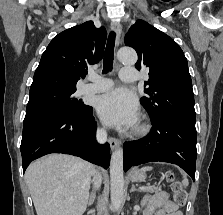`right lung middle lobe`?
<instances>
[{"label": "right lung middle lobe", "mask_w": 223, "mask_h": 215, "mask_svg": "<svg viewBox=\"0 0 223 215\" xmlns=\"http://www.w3.org/2000/svg\"><path fill=\"white\" fill-rule=\"evenodd\" d=\"M76 90L30 92L24 121L51 115L86 116L91 107L76 99Z\"/></svg>", "instance_id": "dd1d6c3e"}]
</instances>
